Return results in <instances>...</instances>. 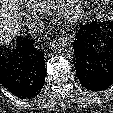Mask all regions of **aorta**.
Listing matches in <instances>:
<instances>
[{
  "label": "aorta",
  "instance_id": "1",
  "mask_svg": "<svg viewBox=\"0 0 113 113\" xmlns=\"http://www.w3.org/2000/svg\"><path fill=\"white\" fill-rule=\"evenodd\" d=\"M53 51L64 57H71L74 54V48L71 41L66 37L58 38L52 42Z\"/></svg>",
  "mask_w": 113,
  "mask_h": 113
}]
</instances>
